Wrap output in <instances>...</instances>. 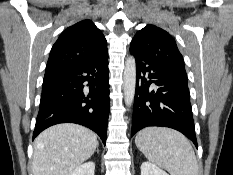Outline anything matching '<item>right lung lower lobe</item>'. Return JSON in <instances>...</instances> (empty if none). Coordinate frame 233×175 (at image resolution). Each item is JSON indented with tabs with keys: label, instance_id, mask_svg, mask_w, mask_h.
<instances>
[{
	"label": "right lung lower lobe",
	"instance_id": "1",
	"mask_svg": "<svg viewBox=\"0 0 233 175\" xmlns=\"http://www.w3.org/2000/svg\"><path fill=\"white\" fill-rule=\"evenodd\" d=\"M108 53L44 76L33 139L59 123H77L95 131L106 143L110 109Z\"/></svg>",
	"mask_w": 233,
	"mask_h": 175
}]
</instances>
